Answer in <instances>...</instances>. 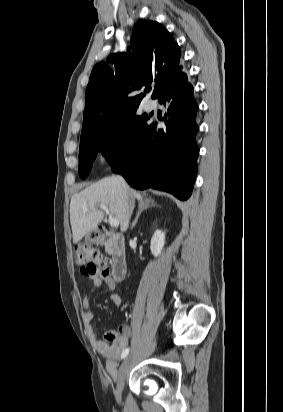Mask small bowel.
I'll return each mask as SVG.
<instances>
[{
  "label": "small bowel",
  "instance_id": "1",
  "mask_svg": "<svg viewBox=\"0 0 283 412\" xmlns=\"http://www.w3.org/2000/svg\"><path fill=\"white\" fill-rule=\"evenodd\" d=\"M94 286L98 287L101 284H105L110 290L115 289V282L109 276L101 275H88ZM111 301L116 305L122 304V298L117 293H112ZM82 319L84 323V329L88 337L90 338L95 349L103 356L105 359V370L109 379L117 378V365L120 355H122L125 347L128 344L129 338L132 334V329L129 325L123 324L119 327L118 340L112 345L100 340L93 328L94 313L90 309V297L87 295L83 300Z\"/></svg>",
  "mask_w": 283,
  "mask_h": 412
}]
</instances>
